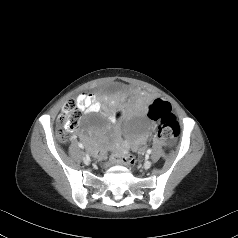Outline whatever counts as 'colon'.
Listing matches in <instances>:
<instances>
[{
    "label": "colon",
    "instance_id": "obj_1",
    "mask_svg": "<svg viewBox=\"0 0 238 238\" xmlns=\"http://www.w3.org/2000/svg\"><path fill=\"white\" fill-rule=\"evenodd\" d=\"M150 119L158 122L157 138L163 143H168L179 134V122L172 112L168 102L155 100L148 107ZM81 119V108L77 101L69 99L63 106L62 112L58 117L59 130L57 135L63 142L67 141L69 132L77 128ZM134 157L124 151L118 152L111 157L110 164L132 165Z\"/></svg>",
    "mask_w": 238,
    "mask_h": 238
}]
</instances>
